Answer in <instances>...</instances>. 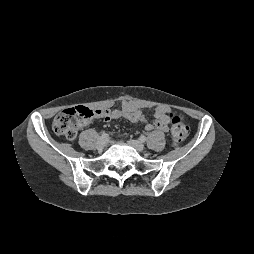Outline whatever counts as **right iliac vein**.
Instances as JSON below:
<instances>
[{
	"label": "right iliac vein",
	"instance_id": "right-iliac-vein-1",
	"mask_svg": "<svg viewBox=\"0 0 254 254\" xmlns=\"http://www.w3.org/2000/svg\"><path fill=\"white\" fill-rule=\"evenodd\" d=\"M106 140L105 139H100L99 141H98V143H97V148L99 149V150H102L105 146H106Z\"/></svg>",
	"mask_w": 254,
	"mask_h": 254
}]
</instances>
